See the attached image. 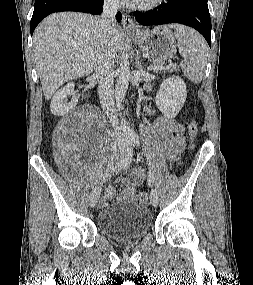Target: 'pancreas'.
Segmentation results:
<instances>
[{"label": "pancreas", "mask_w": 253, "mask_h": 285, "mask_svg": "<svg viewBox=\"0 0 253 285\" xmlns=\"http://www.w3.org/2000/svg\"><path fill=\"white\" fill-rule=\"evenodd\" d=\"M154 65L163 66V63L154 61ZM168 70H169L170 72H173V71H178L179 68H178L176 65H173V66H170V67L168 68Z\"/></svg>", "instance_id": "cf45deb5"}]
</instances>
